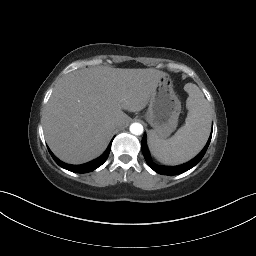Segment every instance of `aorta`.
<instances>
[{"instance_id":"aorta-1","label":"aorta","mask_w":256,"mask_h":256,"mask_svg":"<svg viewBox=\"0 0 256 256\" xmlns=\"http://www.w3.org/2000/svg\"><path fill=\"white\" fill-rule=\"evenodd\" d=\"M129 129L134 135H141L143 133V126L140 123H132Z\"/></svg>"}]
</instances>
